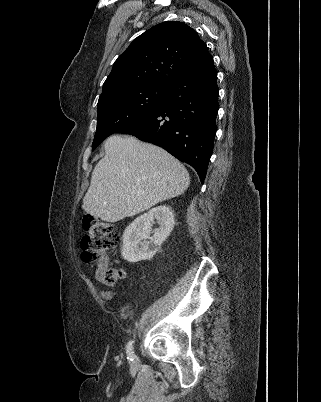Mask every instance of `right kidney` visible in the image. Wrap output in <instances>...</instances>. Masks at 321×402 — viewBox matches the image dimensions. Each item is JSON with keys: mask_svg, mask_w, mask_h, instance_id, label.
Segmentation results:
<instances>
[{"mask_svg": "<svg viewBox=\"0 0 321 402\" xmlns=\"http://www.w3.org/2000/svg\"><path fill=\"white\" fill-rule=\"evenodd\" d=\"M154 220L159 227L155 230L153 237H149ZM173 227L174 215L168 206L160 205L140 215L124 231L121 250L123 259L130 263L151 259Z\"/></svg>", "mask_w": 321, "mask_h": 402, "instance_id": "ca27d5eb", "label": "right kidney"}]
</instances>
